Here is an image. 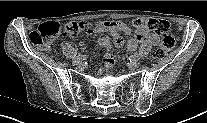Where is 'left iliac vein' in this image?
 Segmentation results:
<instances>
[{
	"label": "left iliac vein",
	"instance_id": "4c4485c4",
	"mask_svg": "<svg viewBox=\"0 0 207 123\" xmlns=\"http://www.w3.org/2000/svg\"><path fill=\"white\" fill-rule=\"evenodd\" d=\"M127 66H128L130 69H135V68L137 67V62H135V61L128 62V63H127Z\"/></svg>",
	"mask_w": 207,
	"mask_h": 123
}]
</instances>
